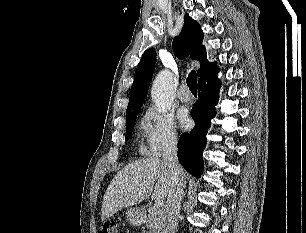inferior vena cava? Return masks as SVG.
<instances>
[{
    "label": "inferior vena cava",
    "mask_w": 306,
    "mask_h": 233,
    "mask_svg": "<svg viewBox=\"0 0 306 233\" xmlns=\"http://www.w3.org/2000/svg\"><path fill=\"white\" fill-rule=\"evenodd\" d=\"M177 150V138L176 136H170L163 148V161L171 171V186L165 207L168 233L177 232L178 216L185 187V174L178 162Z\"/></svg>",
    "instance_id": "inferior-vena-cava-1"
}]
</instances>
